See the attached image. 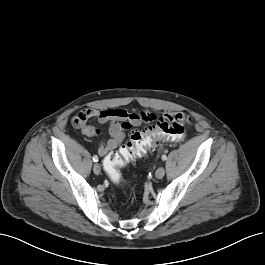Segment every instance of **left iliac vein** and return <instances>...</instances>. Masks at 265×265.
I'll return each mask as SVG.
<instances>
[{"mask_svg":"<svg viewBox=\"0 0 265 265\" xmlns=\"http://www.w3.org/2000/svg\"><path fill=\"white\" fill-rule=\"evenodd\" d=\"M165 175V169L163 167H159L156 172H155V176L158 179L163 178V176Z\"/></svg>","mask_w":265,"mask_h":265,"instance_id":"obj_1","label":"left iliac vein"}]
</instances>
